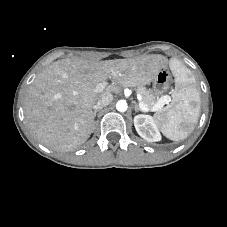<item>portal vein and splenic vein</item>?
Segmentation results:
<instances>
[{"mask_svg": "<svg viewBox=\"0 0 227 227\" xmlns=\"http://www.w3.org/2000/svg\"><path fill=\"white\" fill-rule=\"evenodd\" d=\"M105 88V84L103 83H100L98 84L95 89H94V92L95 93H99L101 91H103ZM138 101H139V107L141 108V110H143L144 112H148L149 109L148 107L142 102V98L140 95H138ZM170 100H168V97L167 96H164L163 98H161L156 104L155 106L153 107V111H157L159 109H161L164 104H168Z\"/></svg>", "mask_w": 227, "mask_h": 227, "instance_id": "obj_1", "label": "portal vein and splenic vein"}]
</instances>
